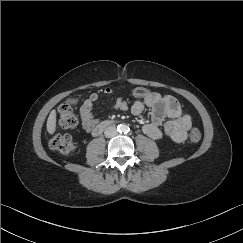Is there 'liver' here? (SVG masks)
<instances>
[{
    "instance_id": "liver-1",
    "label": "liver",
    "mask_w": 243,
    "mask_h": 243,
    "mask_svg": "<svg viewBox=\"0 0 243 243\" xmlns=\"http://www.w3.org/2000/svg\"><path fill=\"white\" fill-rule=\"evenodd\" d=\"M47 131L51 135L56 131V110H52L48 116Z\"/></svg>"
}]
</instances>
